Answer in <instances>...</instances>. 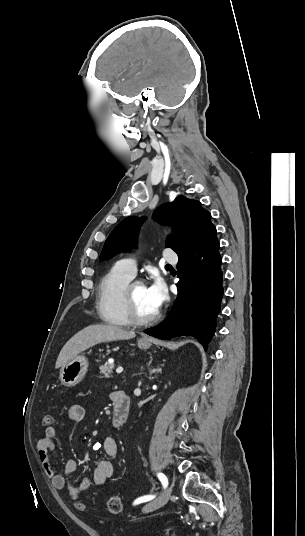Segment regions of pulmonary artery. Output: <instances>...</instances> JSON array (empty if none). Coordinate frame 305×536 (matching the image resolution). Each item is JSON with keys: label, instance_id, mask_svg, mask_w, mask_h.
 I'll return each mask as SVG.
<instances>
[{"label": "pulmonary artery", "instance_id": "e3ab8cb5", "mask_svg": "<svg viewBox=\"0 0 305 536\" xmlns=\"http://www.w3.org/2000/svg\"><path fill=\"white\" fill-rule=\"evenodd\" d=\"M165 253L167 254L164 257V260L166 262L175 264L178 262L179 257L177 254L172 253V250L170 248H166ZM172 253V254H171ZM117 268L122 271L124 274L129 276L130 278H134L136 275L137 267L134 260L131 259H124L117 263Z\"/></svg>", "mask_w": 305, "mask_h": 536}]
</instances>
